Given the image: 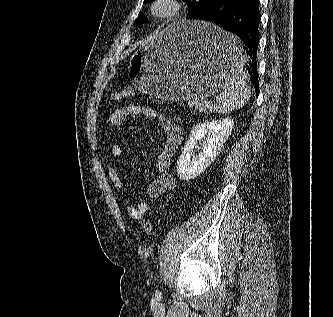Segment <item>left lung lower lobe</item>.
Masks as SVG:
<instances>
[{
    "mask_svg": "<svg viewBox=\"0 0 333 317\" xmlns=\"http://www.w3.org/2000/svg\"><path fill=\"white\" fill-rule=\"evenodd\" d=\"M191 20L207 21L227 32L236 34L248 47L252 58L249 64L251 82L258 94L259 79L256 52L259 43V0H213L208 6L188 17ZM222 52L229 54L227 47L221 45Z\"/></svg>",
    "mask_w": 333,
    "mask_h": 317,
    "instance_id": "left-lung-lower-lobe-1",
    "label": "left lung lower lobe"
}]
</instances>
